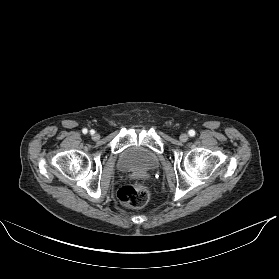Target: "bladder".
I'll return each instance as SVG.
<instances>
[{
	"label": "bladder",
	"mask_w": 279,
	"mask_h": 279,
	"mask_svg": "<svg viewBox=\"0 0 279 279\" xmlns=\"http://www.w3.org/2000/svg\"><path fill=\"white\" fill-rule=\"evenodd\" d=\"M158 165L157 154L141 145L125 148L117 158V166L121 171L136 176H144L154 171Z\"/></svg>",
	"instance_id": "obj_1"
}]
</instances>
